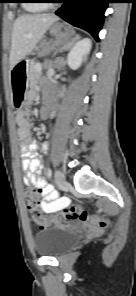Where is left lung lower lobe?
Segmentation results:
<instances>
[{
  "label": "left lung lower lobe",
  "mask_w": 136,
  "mask_h": 296,
  "mask_svg": "<svg viewBox=\"0 0 136 296\" xmlns=\"http://www.w3.org/2000/svg\"><path fill=\"white\" fill-rule=\"evenodd\" d=\"M55 13L72 25L80 27L99 41L98 32L102 27L104 12L110 0H64Z\"/></svg>",
  "instance_id": "left-lung-lower-lobe-1"
}]
</instances>
